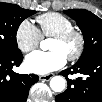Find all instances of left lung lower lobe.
Listing matches in <instances>:
<instances>
[{
	"mask_svg": "<svg viewBox=\"0 0 102 102\" xmlns=\"http://www.w3.org/2000/svg\"><path fill=\"white\" fill-rule=\"evenodd\" d=\"M79 73L84 77L76 80L67 78V90L56 96V102H101L102 100V57H92L78 61L60 74Z\"/></svg>",
	"mask_w": 102,
	"mask_h": 102,
	"instance_id": "left-lung-lower-lobe-1",
	"label": "left lung lower lobe"
}]
</instances>
